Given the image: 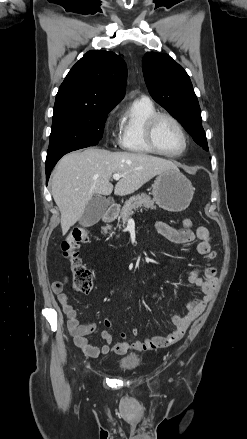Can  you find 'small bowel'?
<instances>
[{
	"instance_id": "1",
	"label": "small bowel",
	"mask_w": 247,
	"mask_h": 439,
	"mask_svg": "<svg viewBox=\"0 0 247 439\" xmlns=\"http://www.w3.org/2000/svg\"><path fill=\"white\" fill-rule=\"evenodd\" d=\"M155 229L158 234L170 241L171 243L183 245L198 239L197 252L208 261H215L218 257L217 252L212 250L211 242L212 236L209 230L204 226H199L195 232L190 229H177L169 224L157 221ZM217 268L210 266L204 269L203 275L200 269H193L188 277L191 284L197 286L202 295L187 304V310L184 315H173L171 322L174 325L173 331L166 336H154L147 340L135 341H114L110 332L103 330L101 332L102 339L106 342L105 345L95 346L88 342L87 336L93 333L96 328V322L89 324H80L77 319V313L72 307L69 297L63 292V282L55 281L52 283V291L57 296L61 305L62 311L67 319V328L70 335L73 337L74 343L79 347L83 353L89 357H98L106 355L111 351L122 355L129 350L147 351L159 348H165L178 342L185 334L190 323L204 310L208 304L214 287L217 283ZM107 327L111 326L110 319L105 320ZM139 330L134 327L131 334L136 337ZM122 338H126L125 333H121Z\"/></svg>"
}]
</instances>
